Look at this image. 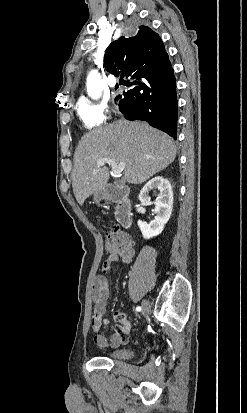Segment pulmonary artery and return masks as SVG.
Here are the masks:
<instances>
[{"label": "pulmonary artery", "mask_w": 247, "mask_h": 413, "mask_svg": "<svg viewBox=\"0 0 247 413\" xmlns=\"http://www.w3.org/2000/svg\"><path fill=\"white\" fill-rule=\"evenodd\" d=\"M108 84L111 88H115L118 84V79L115 76H110L108 79Z\"/></svg>", "instance_id": "e3ab8cb5"}]
</instances>
